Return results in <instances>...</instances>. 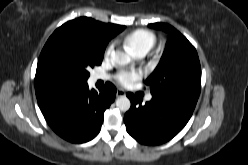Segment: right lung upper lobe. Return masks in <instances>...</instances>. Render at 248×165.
<instances>
[{
  "label": "right lung upper lobe",
  "instance_id": "cb5924a9",
  "mask_svg": "<svg viewBox=\"0 0 248 165\" xmlns=\"http://www.w3.org/2000/svg\"><path fill=\"white\" fill-rule=\"evenodd\" d=\"M58 29L69 30L80 37L89 40L93 45L101 50H105L107 43L125 26L112 23H102L89 17H80L60 26ZM84 86H68L57 80L50 78L41 72L37 67L35 76V92L37 100L60 92L75 91Z\"/></svg>",
  "mask_w": 248,
  "mask_h": 165
}]
</instances>
